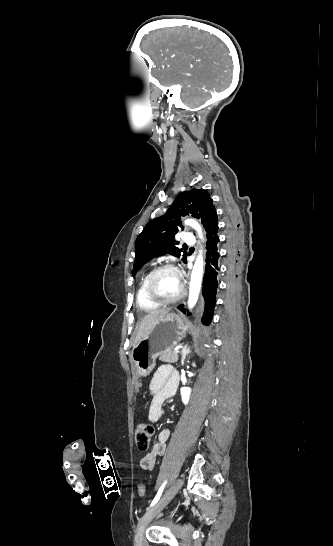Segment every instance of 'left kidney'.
Segmentation results:
<instances>
[{
  "instance_id": "1",
  "label": "left kidney",
  "mask_w": 333,
  "mask_h": 546,
  "mask_svg": "<svg viewBox=\"0 0 333 546\" xmlns=\"http://www.w3.org/2000/svg\"><path fill=\"white\" fill-rule=\"evenodd\" d=\"M193 366H195L194 363H193ZM180 393H181V397H182V402L184 404H188L189 399H190L191 389L188 388V387H182L181 390H180Z\"/></svg>"
}]
</instances>
